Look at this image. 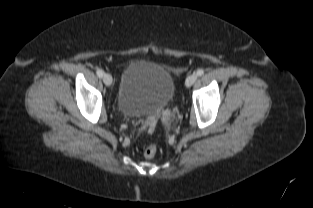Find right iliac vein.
<instances>
[{
  "mask_svg": "<svg viewBox=\"0 0 313 208\" xmlns=\"http://www.w3.org/2000/svg\"><path fill=\"white\" fill-rule=\"evenodd\" d=\"M103 82L106 86H110L112 84V76L109 73H105L103 75Z\"/></svg>",
  "mask_w": 313,
  "mask_h": 208,
  "instance_id": "63e3f726",
  "label": "right iliac vein"
}]
</instances>
